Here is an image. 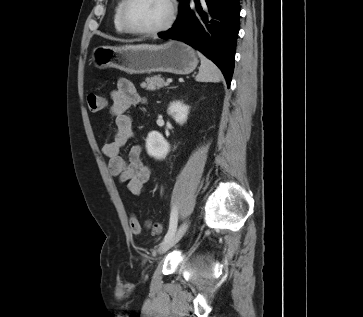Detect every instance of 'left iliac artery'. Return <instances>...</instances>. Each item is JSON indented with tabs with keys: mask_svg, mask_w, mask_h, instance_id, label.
Returning a JSON list of instances; mask_svg holds the SVG:
<instances>
[{
	"mask_svg": "<svg viewBox=\"0 0 363 317\" xmlns=\"http://www.w3.org/2000/svg\"><path fill=\"white\" fill-rule=\"evenodd\" d=\"M177 221H178L177 209L176 207H173L170 215L169 230L165 235L163 242L169 240L175 234L177 229Z\"/></svg>",
	"mask_w": 363,
	"mask_h": 317,
	"instance_id": "44dca946",
	"label": "left iliac artery"
}]
</instances>
